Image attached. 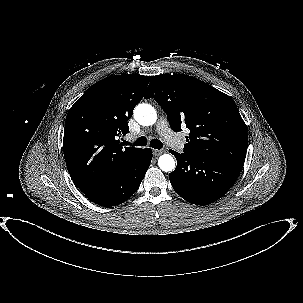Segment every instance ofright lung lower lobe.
I'll list each match as a JSON object with an SVG mask.
<instances>
[{"label":"right lung lower lobe","instance_id":"right-lung-lower-lobe-1","mask_svg":"<svg viewBox=\"0 0 303 303\" xmlns=\"http://www.w3.org/2000/svg\"><path fill=\"white\" fill-rule=\"evenodd\" d=\"M151 159V149H144L139 159L119 176L85 196L100 206H116L125 202L138 190Z\"/></svg>","mask_w":303,"mask_h":303}]
</instances>
